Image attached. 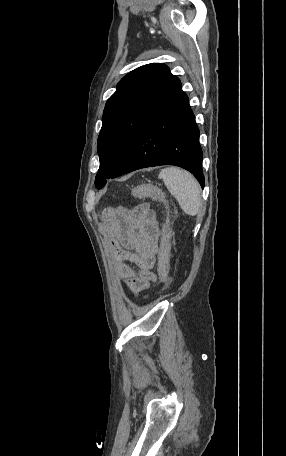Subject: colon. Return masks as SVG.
Instances as JSON below:
<instances>
[{
	"instance_id": "colon-1",
	"label": "colon",
	"mask_w": 286,
	"mask_h": 456,
	"mask_svg": "<svg viewBox=\"0 0 286 456\" xmlns=\"http://www.w3.org/2000/svg\"><path fill=\"white\" fill-rule=\"evenodd\" d=\"M131 194L137 197L161 198L163 193L158 186L151 184L136 185L132 188ZM169 239L170 231L166 227L162 239V243L158 253V276L162 285H167L169 280Z\"/></svg>"
}]
</instances>
